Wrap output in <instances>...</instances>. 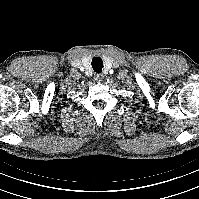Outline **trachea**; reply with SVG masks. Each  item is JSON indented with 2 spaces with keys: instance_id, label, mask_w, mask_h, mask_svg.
Masks as SVG:
<instances>
[{
  "instance_id": "obj_1",
  "label": "trachea",
  "mask_w": 199,
  "mask_h": 199,
  "mask_svg": "<svg viewBox=\"0 0 199 199\" xmlns=\"http://www.w3.org/2000/svg\"><path fill=\"white\" fill-rule=\"evenodd\" d=\"M92 68H93L94 72L100 73L102 71V68H103L102 59L99 58V57H94L92 59Z\"/></svg>"
}]
</instances>
